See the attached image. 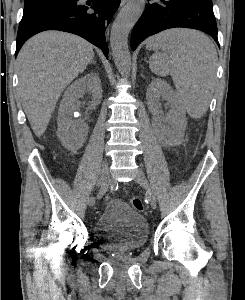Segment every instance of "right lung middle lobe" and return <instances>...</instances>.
<instances>
[{
    "mask_svg": "<svg viewBox=\"0 0 245 300\" xmlns=\"http://www.w3.org/2000/svg\"><path fill=\"white\" fill-rule=\"evenodd\" d=\"M65 1L68 0H34L30 2H25L23 13H28L37 9H41Z\"/></svg>",
    "mask_w": 245,
    "mask_h": 300,
    "instance_id": "1",
    "label": "right lung middle lobe"
}]
</instances>
